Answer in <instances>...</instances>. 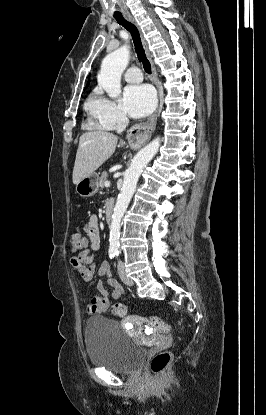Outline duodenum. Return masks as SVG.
I'll return each instance as SVG.
<instances>
[{
  "instance_id": "obj_1",
  "label": "duodenum",
  "mask_w": 266,
  "mask_h": 415,
  "mask_svg": "<svg viewBox=\"0 0 266 415\" xmlns=\"http://www.w3.org/2000/svg\"><path fill=\"white\" fill-rule=\"evenodd\" d=\"M113 212H114V202L112 200H109L106 203V207H105V218L108 223L112 221Z\"/></svg>"
}]
</instances>
